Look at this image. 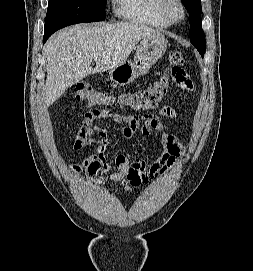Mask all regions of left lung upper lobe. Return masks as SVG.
Listing matches in <instances>:
<instances>
[{
    "instance_id": "left-lung-upper-lobe-1",
    "label": "left lung upper lobe",
    "mask_w": 253,
    "mask_h": 271,
    "mask_svg": "<svg viewBox=\"0 0 253 271\" xmlns=\"http://www.w3.org/2000/svg\"><path fill=\"white\" fill-rule=\"evenodd\" d=\"M182 2L189 12L190 42L203 57L206 50V41L202 29L201 0H182Z\"/></svg>"
}]
</instances>
